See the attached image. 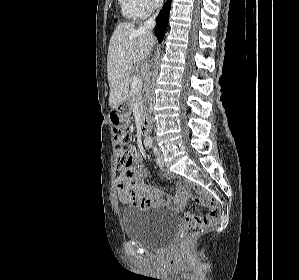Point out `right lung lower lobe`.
<instances>
[{
    "mask_svg": "<svg viewBox=\"0 0 299 280\" xmlns=\"http://www.w3.org/2000/svg\"><path fill=\"white\" fill-rule=\"evenodd\" d=\"M170 9L171 0H167L156 18L155 35L157 36L159 43L162 42L167 29Z\"/></svg>",
    "mask_w": 299,
    "mask_h": 280,
    "instance_id": "98d812e1",
    "label": "right lung lower lobe"
}]
</instances>
